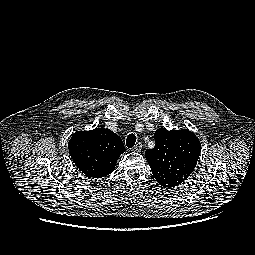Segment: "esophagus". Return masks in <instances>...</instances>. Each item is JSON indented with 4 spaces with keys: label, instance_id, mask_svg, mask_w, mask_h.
<instances>
[{
    "label": "esophagus",
    "instance_id": "34e87169",
    "mask_svg": "<svg viewBox=\"0 0 255 255\" xmlns=\"http://www.w3.org/2000/svg\"><path fill=\"white\" fill-rule=\"evenodd\" d=\"M142 150V143L138 142L136 145L133 147L134 152H140Z\"/></svg>",
    "mask_w": 255,
    "mask_h": 255
}]
</instances>
